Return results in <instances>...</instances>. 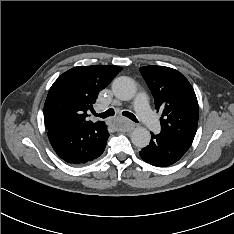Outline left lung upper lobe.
<instances>
[{"label": "left lung upper lobe", "mask_w": 234, "mask_h": 234, "mask_svg": "<svg viewBox=\"0 0 234 234\" xmlns=\"http://www.w3.org/2000/svg\"><path fill=\"white\" fill-rule=\"evenodd\" d=\"M141 74L149 86L157 111L162 110L161 133L185 151L191 146L198 125L195 92L179 71L164 66H145Z\"/></svg>", "instance_id": "obj_1"}]
</instances>
